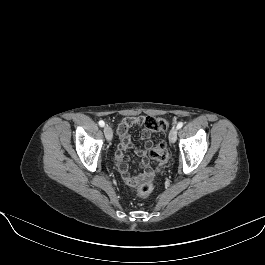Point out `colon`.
Wrapping results in <instances>:
<instances>
[{"label":"colon","mask_w":265,"mask_h":265,"mask_svg":"<svg viewBox=\"0 0 265 265\" xmlns=\"http://www.w3.org/2000/svg\"><path fill=\"white\" fill-rule=\"evenodd\" d=\"M142 124L145 128L153 132H165L168 128V123L161 117L148 116L143 118ZM148 158L156 163H164L169 158L168 145L164 140L159 141L154 147L149 150ZM150 173L148 172L147 175ZM139 193L146 196L150 193L152 185L149 181H143L138 185Z\"/></svg>","instance_id":"1"}]
</instances>
